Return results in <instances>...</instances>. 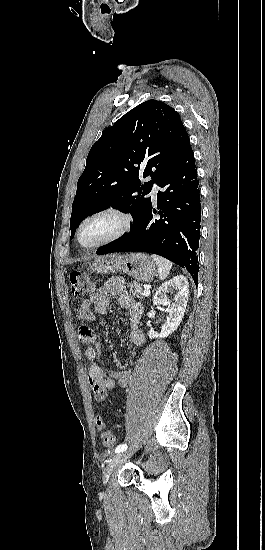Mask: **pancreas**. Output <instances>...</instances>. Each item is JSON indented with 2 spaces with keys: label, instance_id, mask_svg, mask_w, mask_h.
<instances>
[{
  "label": "pancreas",
  "instance_id": "cf45deb5",
  "mask_svg": "<svg viewBox=\"0 0 265 550\" xmlns=\"http://www.w3.org/2000/svg\"><path fill=\"white\" fill-rule=\"evenodd\" d=\"M129 292L133 297H137L138 299H143L144 295V288L138 284V283H128Z\"/></svg>",
  "mask_w": 265,
  "mask_h": 550
}]
</instances>
